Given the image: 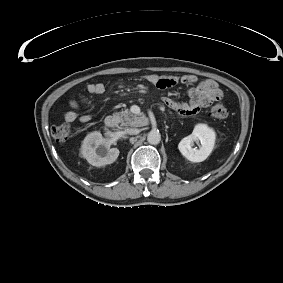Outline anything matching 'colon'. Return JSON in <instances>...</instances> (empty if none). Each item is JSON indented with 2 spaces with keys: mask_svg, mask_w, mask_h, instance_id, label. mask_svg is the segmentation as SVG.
<instances>
[{
  "mask_svg": "<svg viewBox=\"0 0 283 283\" xmlns=\"http://www.w3.org/2000/svg\"><path fill=\"white\" fill-rule=\"evenodd\" d=\"M210 116L215 120L225 119L228 115L227 109L222 104H216L210 109ZM72 135V129L68 124H60L52 129V136L58 142L67 141Z\"/></svg>",
  "mask_w": 283,
  "mask_h": 283,
  "instance_id": "obj_1",
  "label": "colon"
}]
</instances>
